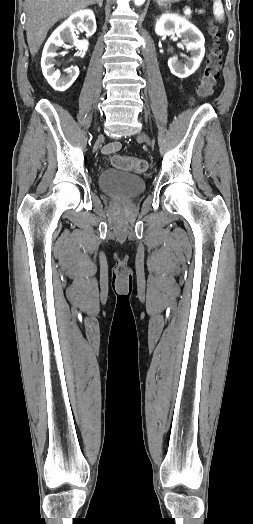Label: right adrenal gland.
Here are the masks:
<instances>
[{
    "mask_svg": "<svg viewBox=\"0 0 253 524\" xmlns=\"http://www.w3.org/2000/svg\"><path fill=\"white\" fill-rule=\"evenodd\" d=\"M94 4H98L99 7L101 8L102 5H103V0H96V1L94 2Z\"/></svg>",
    "mask_w": 253,
    "mask_h": 524,
    "instance_id": "obj_1",
    "label": "right adrenal gland"
}]
</instances>
